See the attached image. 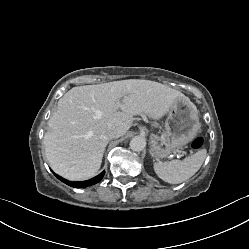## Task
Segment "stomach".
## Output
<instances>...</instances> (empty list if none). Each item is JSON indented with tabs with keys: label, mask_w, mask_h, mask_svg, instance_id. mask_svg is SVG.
Returning <instances> with one entry per match:
<instances>
[{
	"label": "stomach",
	"mask_w": 249,
	"mask_h": 249,
	"mask_svg": "<svg viewBox=\"0 0 249 249\" xmlns=\"http://www.w3.org/2000/svg\"><path fill=\"white\" fill-rule=\"evenodd\" d=\"M198 111L191 102L178 98L169 110L165 130L150 137L152 156L163 159L192 141L198 133Z\"/></svg>",
	"instance_id": "1"
}]
</instances>
